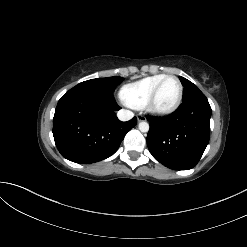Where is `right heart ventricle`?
Listing matches in <instances>:
<instances>
[{"label":"right heart ventricle","mask_w":247,"mask_h":247,"mask_svg":"<svg viewBox=\"0 0 247 247\" xmlns=\"http://www.w3.org/2000/svg\"><path fill=\"white\" fill-rule=\"evenodd\" d=\"M166 76V74H155L136 82L129 83L121 89V96L124 101L133 108H142L153 91L157 83Z\"/></svg>","instance_id":"1"}]
</instances>
